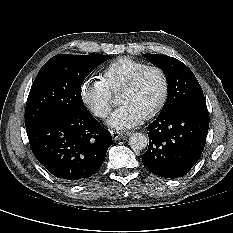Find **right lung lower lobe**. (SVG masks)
<instances>
[{"label": "right lung lower lobe", "mask_w": 233, "mask_h": 233, "mask_svg": "<svg viewBox=\"0 0 233 233\" xmlns=\"http://www.w3.org/2000/svg\"><path fill=\"white\" fill-rule=\"evenodd\" d=\"M32 152L56 178L77 183L101 167L112 137L86 109L26 127Z\"/></svg>", "instance_id": "right-lung-lower-lobe-1"}]
</instances>
